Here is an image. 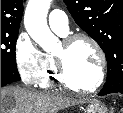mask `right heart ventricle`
<instances>
[{"label":"right heart ventricle","mask_w":123,"mask_h":113,"mask_svg":"<svg viewBox=\"0 0 123 113\" xmlns=\"http://www.w3.org/2000/svg\"><path fill=\"white\" fill-rule=\"evenodd\" d=\"M60 83L56 75L53 56L50 54L44 55V67L41 73L39 85L42 88H50L54 84Z\"/></svg>","instance_id":"1"}]
</instances>
